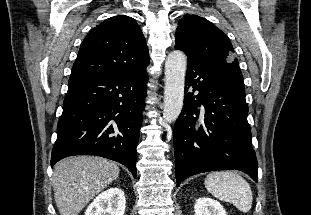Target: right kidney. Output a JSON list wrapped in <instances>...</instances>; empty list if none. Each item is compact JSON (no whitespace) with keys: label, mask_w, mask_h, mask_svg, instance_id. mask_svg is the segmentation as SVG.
I'll return each instance as SVG.
<instances>
[{"label":"right kidney","mask_w":311,"mask_h":215,"mask_svg":"<svg viewBox=\"0 0 311 215\" xmlns=\"http://www.w3.org/2000/svg\"><path fill=\"white\" fill-rule=\"evenodd\" d=\"M125 207L124 192L114 187L99 194L88 206L85 215H124Z\"/></svg>","instance_id":"obj_1"}]
</instances>
